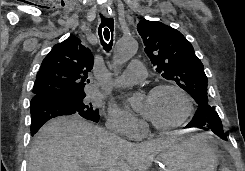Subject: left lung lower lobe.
<instances>
[{"label": "left lung lower lobe", "mask_w": 245, "mask_h": 171, "mask_svg": "<svg viewBox=\"0 0 245 171\" xmlns=\"http://www.w3.org/2000/svg\"><path fill=\"white\" fill-rule=\"evenodd\" d=\"M193 127L211 130L221 139L227 141L219 115L210 105L199 107L191 122L186 126V128Z\"/></svg>", "instance_id": "obj_1"}]
</instances>
